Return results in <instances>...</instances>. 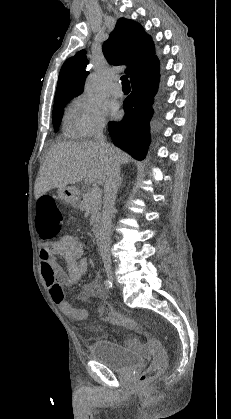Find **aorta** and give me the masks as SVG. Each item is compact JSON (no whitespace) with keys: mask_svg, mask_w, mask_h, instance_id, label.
<instances>
[{"mask_svg":"<svg viewBox=\"0 0 231 419\" xmlns=\"http://www.w3.org/2000/svg\"><path fill=\"white\" fill-rule=\"evenodd\" d=\"M98 88V76L96 74H92L88 77L85 84V93L92 95L96 92Z\"/></svg>","mask_w":231,"mask_h":419,"instance_id":"aorta-1","label":"aorta"}]
</instances>
